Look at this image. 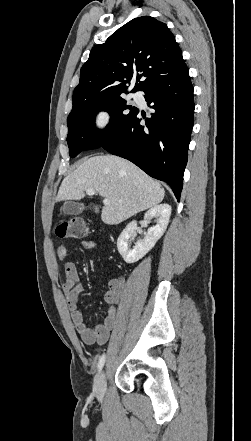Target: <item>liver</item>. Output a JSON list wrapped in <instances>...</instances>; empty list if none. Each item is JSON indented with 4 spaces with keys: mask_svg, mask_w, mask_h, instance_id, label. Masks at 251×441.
<instances>
[{
    "mask_svg": "<svg viewBox=\"0 0 251 441\" xmlns=\"http://www.w3.org/2000/svg\"><path fill=\"white\" fill-rule=\"evenodd\" d=\"M90 188L110 200L101 212V220L108 225L119 224L156 206L165 195L159 182L130 161L99 155L86 159L63 179L56 199L80 200Z\"/></svg>",
    "mask_w": 251,
    "mask_h": 441,
    "instance_id": "liver-1",
    "label": "liver"
}]
</instances>
